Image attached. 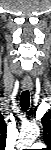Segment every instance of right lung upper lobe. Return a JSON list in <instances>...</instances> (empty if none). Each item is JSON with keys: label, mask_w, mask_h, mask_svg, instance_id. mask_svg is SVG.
Here are the masks:
<instances>
[{"label": "right lung upper lobe", "mask_w": 51, "mask_h": 150, "mask_svg": "<svg viewBox=\"0 0 51 150\" xmlns=\"http://www.w3.org/2000/svg\"><path fill=\"white\" fill-rule=\"evenodd\" d=\"M7 126L4 117L0 115V150H4L6 146Z\"/></svg>", "instance_id": "cb5924a9"}]
</instances>
